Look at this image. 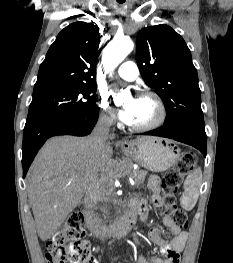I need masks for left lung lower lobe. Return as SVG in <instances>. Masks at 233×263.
I'll return each instance as SVG.
<instances>
[{
  "label": "left lung lower lobe",
  "mask_w": 233,
  "mask_h": 263,
  "mask_svg": "<svg viewBox=\"0 0 233 263\" xmlns=\"http://www.w3.org/2000/svg\"><path fill=\"white\" fill-rule=\"evenodd\" d=\"M143 135L171 138L197 148L206 156L207 138L204 126L197 124L163 125L158 129L143 133Z\"/></svg>",
  "instance_id": "1"
}]
</instances>
